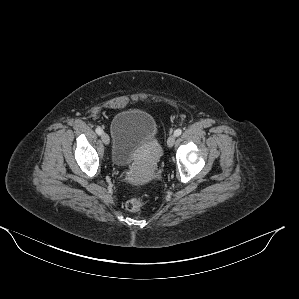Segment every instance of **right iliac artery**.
<instances>
[{
  "instance_id": "obj_1",
  "label": "right iliac artery",
  "mask_w": 299,
  "mask_h": 299,
  "mask_svg": "<svg viewBox=\"0 0 299 299\" xmlns=\"http://www.w3.org/2000/svg\"><path fill=\"white\" fill-rule=\"evenodd\" d=\"M102 129L100 128V127H98V128H96V133L98 134V135H101L102 134Z\"/></svg>"
}]
</instances>
